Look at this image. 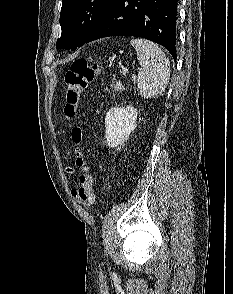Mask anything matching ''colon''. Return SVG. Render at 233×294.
Listing matches in <instances>:
<instances>
[{"mask_svg":"<svg viewBox=\"0 0 233 294\" xmlns=\"http://www.w3.org/2000/svg\"><path fill=\"white\" fill-rule=\"evenodd\" d=\"M98 73V67L89 58H78L73 61L65 74V98L64 115L73 118L76 114L80 99L90 82ZM83 139L81 127L75 126L71 131V140L75 145L73 167L80 171L78 187L72 190L75 200L83 205H91L94 202V179L87 173V166L80 150Z\"/></svg>","mask_w":233,"mask_h":294,"instance_id":"obj_1","label":"colon"}]
</instances>
